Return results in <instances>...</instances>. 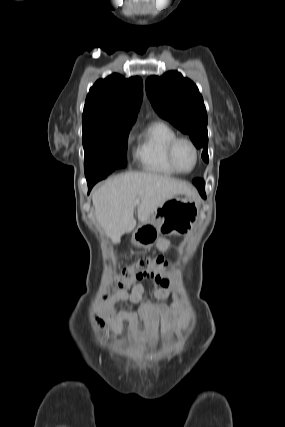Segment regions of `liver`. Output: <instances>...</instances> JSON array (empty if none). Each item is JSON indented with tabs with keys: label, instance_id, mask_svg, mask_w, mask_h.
Masks as SVG:
<instances>
[{
	"label": "liver",
	"instance_id": "1",
	"mask_svg": "<svg viewBox=\"0 0 285 427\" xmlns=\"http://www.w3.org/2000/svg\"><path fill=\"white\" fill-rule=\"evenodd\" d=\"M177 195L195 196L186 183L156 173L129 172L107 180L92 192L95 216L107 237L114 243L136 227L134 201L138 221L146 223L168 199Z\"/></svg>",
	"mask_w": 285,
	"mask_h": 427
}]
</instances>
